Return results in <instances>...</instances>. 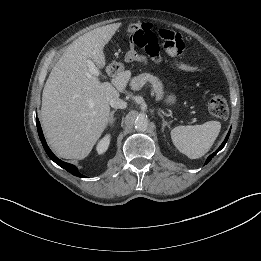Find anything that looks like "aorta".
<instances>
[{"label":"aorta","instance_id":"obj_1","mask_svg":"<svg viewBox=\"0 0 261 261\" xmlns=\"http://www.w3.org/2000/svg\"><path fill=\"white\" fill-rule=\"evenodd\" d=\"M148 125H149V120L147 117L140 116V117L136 118V120H135V129L137 131L147 130Z\"/></svg>","mask_w":261,"mask_h":261}]
</instances>
